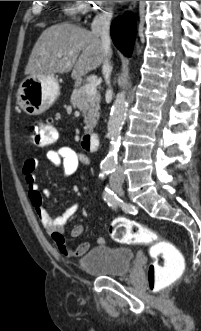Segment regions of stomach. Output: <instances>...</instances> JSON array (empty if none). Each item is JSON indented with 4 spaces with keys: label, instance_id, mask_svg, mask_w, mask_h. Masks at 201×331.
<instances>
[{
    "label": "stomach",
    "instance_id": "1",
    "mask_svg": "<svg viewBox=\"0 0 201 331\" xmlns=\"http://www.w3.org/2000/svg\"><path fill=\"white\" fill-rule=\"evenodd\" d=\"M59 94L60 86L53 75H30L19 86L17 104L28 115H40L54 104Z\"/></svg>",
    "mask_w": 201,
    "mask_h": 331
}]
</instances>
